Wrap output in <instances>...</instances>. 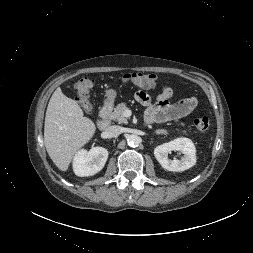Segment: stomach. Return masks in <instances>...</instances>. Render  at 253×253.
<instances>
[{
    "instance_id": "stomach-1",
    "label": "stomach",
    "mask_w": 253,
    "mask_h": 253,
    "mask_svg": "<svg viewBox=\"0 0 253 253\" xmlns=\"http://www.w3.org/2000/svg\"><path fill=\"white\" fill-rule=\"evenodd\" d=\"M106 97L109 102H113L116 97V91L113 89H109L106 91Z\"/></svg>"
}]
</instances>
